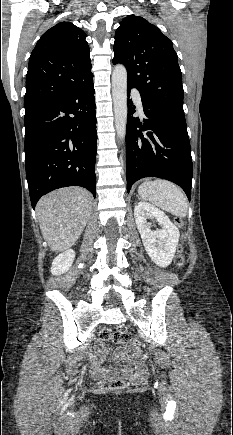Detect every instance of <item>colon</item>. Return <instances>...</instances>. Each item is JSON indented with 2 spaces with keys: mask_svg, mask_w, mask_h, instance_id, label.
Listing matches in <instances>:
<instances>
[{
  "mask_svg": "<svg viewBox=\"0 0 233 435\" xmlns=\"http://www.w3.org/2000/svg\"><path fill=\"white\" fill-rule=\"evenodd\" d=\"M178 226H183V221L179 218L176 219ZM185 263L184 248L183 246L178 247V252L175 257V264L177 267H182ZM99 338L102 341H111L114 343H124L127 345L135 344L131 334L124 331H112L109 328L100 329ZM100 387L106 392H117L122 391L127 387V382L124 379L115 378H105L101 381Z\"/></svg>",
  "mask_w": 233,
  "mask_h": 435,
  "instance_id": "colon-1",
  "label": "colon"
}]
</instances>
